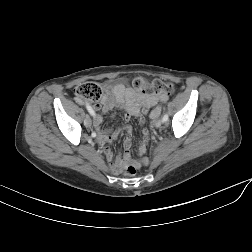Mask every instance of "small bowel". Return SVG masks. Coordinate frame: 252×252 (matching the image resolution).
Masks as SVG:
<instances>
[{
  "instance_id": "1",
  "label": "small bowel",
  "mask_w": 252,
  "mask_h": 252,
  "mask_svg": "<svg viewBox=\"0 0 252 252\" xmlns=\"http://www.w3.org/2000/svg\"><path fill=\"white\" fill-rule=\"evenodd\" d=\"M169 99V95L166 93L161 94H149L136 90L132 86L126 83H118L114 86L109 84L105 85V93L99 104L93 106V109L107 113L115 109L124 111V119L128 121L132 116H140V124L142 126L141 134L142 138L138 146V153L144 154L148 142V130L144 127L145 119L141 113L145 114L152 106L157 102H166ZM79 104H82L81 99H77ZM102 117L96 115L94 117V129L98 136L97 141L99 144L104 145L108 142L115 140L118 136V129L114 128L109 131L101 129ZM127 137L124 143L125 153L120 155L114 163L111 164L110 168L114 174L122 173L124 167L131 160V135L132 128L126 127ZM104 154L108 160H112V151L108 146L103 148ZM142 163H147V159L142 158Z\"/></svg>"
}]
</instances>
